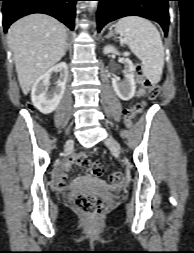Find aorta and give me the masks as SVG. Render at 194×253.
I'll list each match as a JSON object with an SVG mask.
<instances>
[{
    "label": "aorta",
    "instance_id": "aorta-1",
    "mask_svg": "<svg viewBox=\"0 0 194 253\" xmlns=\"http://www.w3.org/2000/svg\"><path fill=\"white\" fill-rule=\"evenodd\" d=\"M89 5L91 8H94L97 6V1H89Z\"/></svg>",
    "mask_w": 194,
    "mask_h": 253
}]
</instances>
